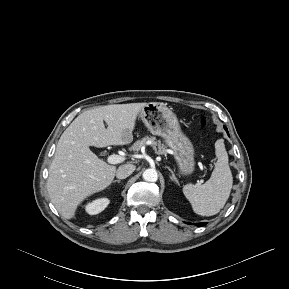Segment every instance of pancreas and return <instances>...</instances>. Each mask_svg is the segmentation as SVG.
<instances>
[{"mask_svg":"<svg viewBox=\"0 0 289 289\" xmlns=\"http://www.w3.org/2000/svg\"><path fill=\"white\" fill-rule=\"evenodd\" d=\"M146 145H150L157 154H166L165 146L160 142H156L154 137L148 136L134 143L132 146V150L138 152L141 148L145 147Z\"/></svg>","mask_w":289,"mask_h":289,"instance_id":"1","label":"pancreas"}]
</instances>
